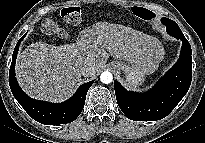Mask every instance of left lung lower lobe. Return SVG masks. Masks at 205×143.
I'll use <instances>...</instances> for the list:
<instances>
[{
	"label": "left lung lower lobe",
	"mask_w": 205,
	"mask_h": 143,
	"mask_svg": "<svg viewBox=\"0 0 205 143\" xmlns=\"http://www.w3.org/2000/svg\"><path fill=\"white\" fill-rule=\"evenodd\" d=\"M167 33L182 41L177 63L147 93L127 91L114 81L117 103L134 121H154L166 117L187 93L192 80V50L179 26L166 25Z\"/></svg>",
	"instance_id": "0a47b994"
}]
</instances>
